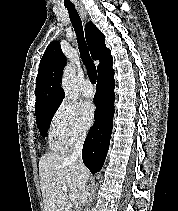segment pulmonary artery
<instances>
[{
	"instance_id": "1",
	"label": "pulmonary artery",
	"mask_w": 178,
	"mask_h": 211,
	"mask_svg": "<svg viewBox=\"0 0 178 211\" xmlns=\"http://www.w3.org/2000/svg\"><path fill=\"white\" fill-rule=\"evenodd\" d=\"M81 91L83 96L85 97H92L94 94L93 85L89 80H86L81 87Z\"/></svg>"
}]
</instances>
